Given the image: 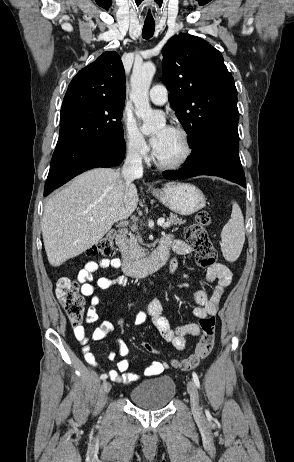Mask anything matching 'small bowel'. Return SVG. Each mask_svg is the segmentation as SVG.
<instances>
[{
	"label": "small bowel",
	"mask_w": 294,
	"mask_h": 462,
	"mask_svg": "<svg viewBox=\"0 0 294 462\" xmlns=\"http://www.w3.org/2000/svg\"><path fill=\"white\" fill-rule=\"evenodd\" d=\"M163 242L169 244L172 251L177 255H188L191 253V247L184 241L173 239L171 236L165 237ZM122 263L120 259H102L101 261L87 262L82 270L78 273L77 279L81 284V293L84 296L91 297L90 306L87 310L86 322L93 323L98 319L97 305L99 304V297L96 295V289H108L112 285L123 287L127 284V278L124 275H118L113 279L106 277L95 278V274L100 269L106 268H120ZM177 269V260L173 259L170 264V273H174ZM205 281L208 283L216 282L212 293L206 290L198 289L194 291L190 298L196 304L193 314L198 318L216 315L223 295L227 287L231 284L232 273L229 268L223 264L215 263L208 267ZM164 304L159 298L153 299L147 306L145 311H140L135 316V324L140 325L150 317L152 323L160 333L161 337L170 343L177 350H183L187 345L188 336H198L200 334V327L196 323H186L177 327H172L169 320L163 315ZM113 330V325L110 322H103L92 334V339L95 341L102 340L108 333ZM74 335L78 342L82 345V353L86 362L92 366H98L95 356L89 346V338L83 326H76L74 328ZM116 347L122 357L117 362V367L111 370L108 374L112 381L118 383H131L136 381L139 376L131 373L129 369V348L122 340H116ZM115 353L112 351L109 354V359L113 360ZM168 368L166 362L153 361L146 367L144 374L146 376H155L161 374Z\"/></svg>",
	"instance_id": "c3829d8e"
}]
</instances>
